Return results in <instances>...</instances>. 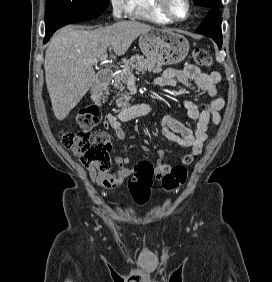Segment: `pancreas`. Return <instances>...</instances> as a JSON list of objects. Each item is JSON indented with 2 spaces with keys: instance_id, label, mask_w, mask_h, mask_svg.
<instances>
[{
  "instance_id": "1",
  "label": "pancreas",
  "mask_w": 272,
  "mask_h": 282,
  "mask_svg": "<svg viewBox=\"0 0 272 282\" xmlns=\"http://www.w3.org/2000/svg\"><path fill=\"white\" fill-rule=\"evenodd\" d=\"M133 70H137L138 72L142 73L148 71L158 74L162 71V66L160 64H156L155 62L147 58H144L141 55H133L130 59L124 62L122 70H120L115 75L114 87L123 90L122 84L127 82ZM130 99L131 96L127 92H124L121 97L117 100V105L126 106L129 104Z\"/></svg>"
}]
</instances>
